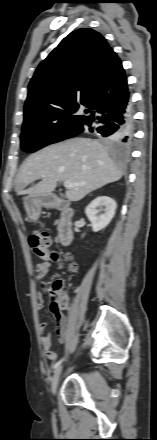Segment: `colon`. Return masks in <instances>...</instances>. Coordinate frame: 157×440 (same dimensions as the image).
Masks as SVG:
<instances>
[{
  "instance_id": "obj_1",
  "label": "colon",
  "mask_w": 157,
  "mask_h": 440,
  "mask_svg": "<svg viewBox=\"0 0 157 440\" xmlns=\"http://www.w3.org/2000/svg\"><path fill=\"white\" fill-rule=\"evenodd\" d=\"M29 244L33 251L43 260L60 261L59 256L49 250L50 238L47 232L35 230L29 237ZM68 269L74 272L77 270V265L73 262H69ZM45 291L51 302V308L61 309L67 306L68 299L63 291V282L61 279L47 283L45 285Z\"/></svg>"
}]
</instances>
